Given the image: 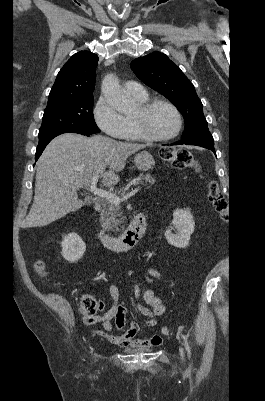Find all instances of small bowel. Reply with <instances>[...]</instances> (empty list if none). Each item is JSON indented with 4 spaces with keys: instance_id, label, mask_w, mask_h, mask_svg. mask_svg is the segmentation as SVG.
Segmentation results:
<instances>
[{
    "instance_id": "obj_1",
    "label": "small bowel",
    "mask_w": 265,
    "mask_h": 401,
    "mask_svg": "<svg viewBox=\"0 0 265 401\" xmlns=\"http://www.w3.org/2000/svg\"><path fill=\"white\" fill-rule=\"evenodd\" d=\"M146 279L154 286L162 278V274L155 268H148L145 272ZM109 295L113 301V305L102 316L86 317V324L101 323L103 331H95V334L102 336L111 344L118 347L132 348H154L161 344L162 338L159 335H153L148 339H139L136 337L139 331V325L136 321H132L129 327H126L127 306L119 303L120 292L116 285L110 284L108 287ZM135 296L141 299L145 305H136V310L146 316L147 326L155 327L158 324V318L165 312V306L161 299L155 295V289L150 288L141 291L138 285L134 287ZM104 309L102 304L101 310ZM114 319L116 326L122 331L120 336L113 333L111 320Z\"/></svg>"
}]
</instances>
